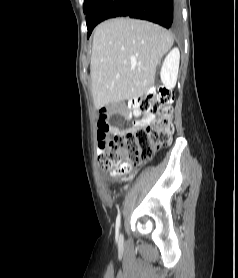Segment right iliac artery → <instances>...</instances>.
<instances>
[{
  "instance_id": "82829eb1",
  "label": "right iliac artery",
  "mask_w": 238,
  "mask_h": 278,
  "mask_svg": "<svg viewBox=\"0 0 238 278\" xmlns=\"http://www.w3.org/2000/svg\"><path fill=\"white\" fill-rule=\"evenodd\" d=\"M120 219H121V215H120V212L118 213L117 215V218H116V235L118 236V232H119V229H120Z\"/></svg>"
}]
</instances>
